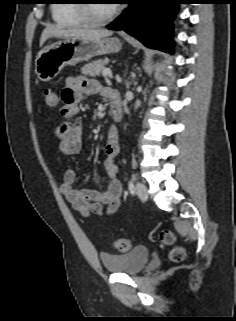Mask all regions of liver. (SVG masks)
Returning a JSON list of instances; mask_svg holds the SVG:
<instances>
[{"mask_svg":"<svg viewBox=\"0 0 236 321\" xmlns=\"http://www.w3.org/2000/svg\"><path fill=\"white\" fill-rule=\"evenodd\" d=\"M112 31L107 29H88V28H74V29H60L53 25H48L42 32L40 38V46L51 37H82L84 39H100L111 36Z\"/></svg>","mask_w":236,"mask_h":321,"instance_id":"1","label":"liver"}]
</instances>
